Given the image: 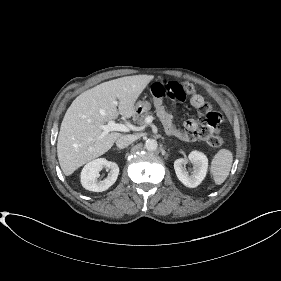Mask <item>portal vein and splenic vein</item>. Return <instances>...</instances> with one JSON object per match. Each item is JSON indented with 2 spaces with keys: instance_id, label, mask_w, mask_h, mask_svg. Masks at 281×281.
Segmentation results:
<instances>
[{
  "instance_id": "obj_1",
  "label": "portal vein and splenic vein",
  "mask_w": 281,
  "mask_h": 281,
  "mask_svg": "<svg viewBox=\"0 0 281 281\" xmlns=\"http://www.w3.org/2000/svg\"><path fill=\"white\" fill-rule=\"evenodd\" d=\"M117 103V102H115ZM152 117L148 116L145 119V123L149 124L152 122ZM100 128L103 130L101 137L105 136L111 131H120V132H129V131H135L138 130V127L132 125V124H122V123H116L114 120L108 121L106 125H100Z\"/></svg>"
}]
</instances>
